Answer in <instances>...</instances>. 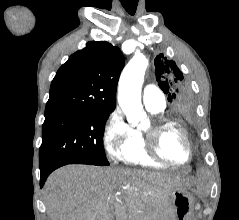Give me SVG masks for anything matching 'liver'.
Returning <instances> with one entry per match:
<instances>
[{"instance_id": "liver-1", "label": "liver", "mask_w": 239, "mask_h": 220, "mask_svg": "<svg viewBox=\"0 0 239 220\" xmlns=\"http://www.w3.org/2000/svg\"><path fill=\"white\" fill-rule=\"evenodd\" d=\"M179 177L140 169L69 165L44 186L50 220H165Z\"/></svg>"}]
</instances>
